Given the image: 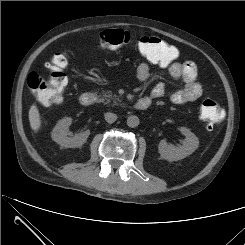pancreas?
Segmentation results:
<instances>
[{"label":"pancreas","instance_id":"pancreas-1","mask_svg":"<svg viewBox=\"0 0 245 245\" xmlns=\"http://www.w3.org/2000/svg\"><path fill=\"white\" fill-rule=\"evenodd\" d=\"M110 99H113L114 104H117V101H120L116 95H112L110 91L103 92L102 102L105 104L110 103Z\"/></svg>","mask_w":245,"mask_h":245}]
</instances>
